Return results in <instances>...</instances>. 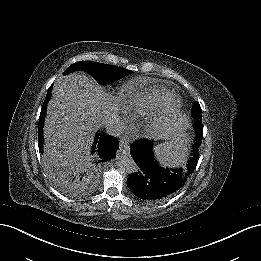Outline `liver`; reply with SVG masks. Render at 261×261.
Here are the masks:
<instances>
[{"instance_id": "liver-1", "label": "liver", "mask_w": 261, "mask_h": 261, "mask_svg": "<svg viewBox=\"0 0 261 261\" xmlns=\"http://www.w3.org/2000/svg\"><path fill=\"white\" fill-rule=\"evenodd\" d=\"M123 100L113 96L85 74L57 81L47 105L42 162L51 173L59 167L77 168L91 160L89 149L96 131L117 117Z\"/></svg>"}]
</instances>
